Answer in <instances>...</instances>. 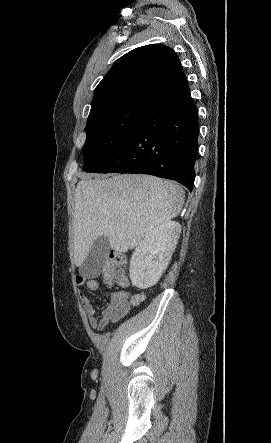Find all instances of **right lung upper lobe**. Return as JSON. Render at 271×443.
Returning a JSON list of instances; mask_svg holds the SVG:
<instances>
[{
	"label": "right lung upper lobe",
	"mask_w": 271,
	"mask_h": 443,
	"mask_svg": "<svg viewBox=\"0 0 271 443\" xmlns=\"http://www.w3.org/2000/svg\"><path fill=\"white\" fill-rule=\"evenodd\" d=\"M188 89L177 54L164 45H146L114 63L95 89L91 111L101 104L123 99L153 103Z\"/></svg>",
	"instance_id": "1"
}]
</instances>
